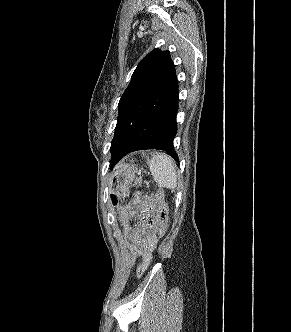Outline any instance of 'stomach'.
<instances>
[{"mask_svg": "<svg viewBox=\"0 0 291 332\" xmlns=\"http://www.w3.org/2000/svg\"><path fill=\"white\" fill-rule=\"evenodd\" d=\"M136 172L137 168L135 165H122L113 172L111 187L117 195L124 196L127 194Z\"/></svg>", "mask_w": 291, "mask_h": 332, "instance_id": "0dacf381", "label": "stomach"}]
</instances>
